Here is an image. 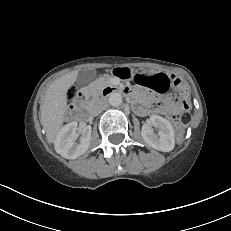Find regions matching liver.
<instances>
[{"mask_svg":"<svg viewBox=\"0 0 231 231\" xmlns=\"http://www.w3.org/2000/svg\"><path fill=\"white\" fill-rule=\"evenodd\" d=\"M78 72L72 71L54 81L47 89L40 107L41 125L48 142L54 143L67 112V91L75 83Z\"/></svg>","mask_w":231,"mask_h":231,"instance_id":"1","label":"liver"}]
</instances>
